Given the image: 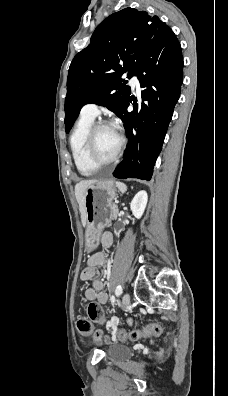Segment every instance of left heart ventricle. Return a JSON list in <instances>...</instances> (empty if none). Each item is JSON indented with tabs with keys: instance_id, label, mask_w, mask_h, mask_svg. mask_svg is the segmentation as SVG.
<instances>
[{
	"instance_id": "1",
	"label": "left heart ventricle",
	"mask_w": 228,
	"mask_h": 396,
	"mask_svg": "<svg viewBox=\"0 0 228 396\" xmlns=\"http://www.w3.org/2000/svg\"><path fill=\"white\" fill-rule=\"evenodd\" d=\"M119 146V136L111 126H106L96 134L94 153L98 160L107 161L113 157Z\"/></svg>"
}]
</instances>
